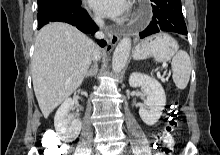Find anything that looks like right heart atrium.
Returning <instances> with one entry per match:
<instances>
[{
  "mask_svg": "<svg viewBox=\"0 0 220 155\" xmlns=\"http://www.w3.org/2000/svg\"><path fill=\"white\" fill-rule=\"evenodd\" d=\"M94 20H95V22H96L97 24H102V19H101L100 16L95 15Z\"/></svg>",
  "mask_w": 220,
  "mask_h": 155,
  "instance_id": "1",
  "label": "right heart atrium"
}]
</instances>
